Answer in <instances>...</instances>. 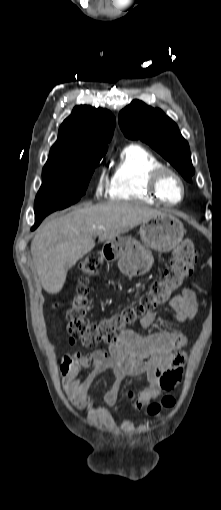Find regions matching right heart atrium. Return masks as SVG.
<instances>
[{
  "label": "right heart atrium",
  "instance_id": "1",
  "mask_svg": "<svg viewBox=\"0 0 221 510\" xmlns=\"http://www.w3.org/2000/svg\"><path fill=\"white\" fill-rule=\"evenodd\" d=\"M105 185H106V179H105L104 175H101L99 177V180L97 183V190H96L97 195H101L103 193Z\"/></svg>",
  "mask_w": 221,
  "mask_h": 510
}]
</instances>
